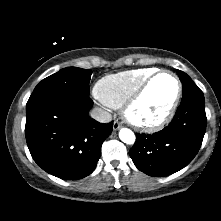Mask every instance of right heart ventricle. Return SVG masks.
Returning a JSON list of instances; mask_svg holds the SVG:
<instances>
[{
  "mask_svg": "<svg viewBox=\"0 0 221 221\" xmlns=\"http://www.w3.org/2000/svg\"><path fill=\"white\" fill-rule=\"evenodd\" d=\"M155 68H137L104 76L94 87L96 97L105 105L120 108Z\"/></svg>",
  "mask_w": 221,
  "mask_h": 221,
  "instance_id": "e07e8e85",
  "label": "right heart ventricle"
}]
</instances>
